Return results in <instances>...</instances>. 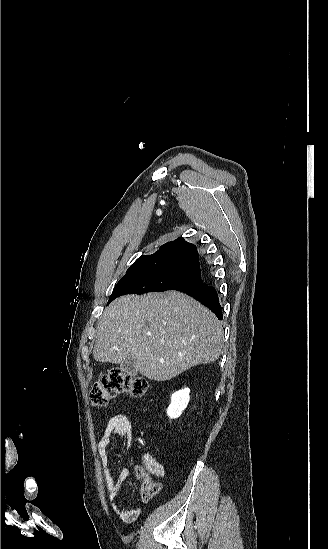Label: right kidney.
Wrapping results in <instances>:
<instances>
[{"label": "right kidney", "mask_w": 328, "mask_h": 549, "mask_svg": "<svg viewBox=\"0 0 328 549\" xmlns=\"http://www.w3.org/2000/svg\"><path fill=\"white\" fill-rule=\"evenodd\" d=\"M189 393L190 389H181V391H176L171 397V405L167 409V415L170 419H177L182 415V411L186 409L189 403Z\"/></svg>", "instance_id": "ca27d5eb"}]
</instances>
